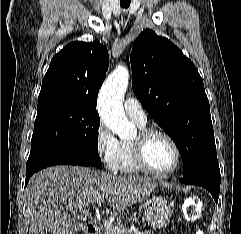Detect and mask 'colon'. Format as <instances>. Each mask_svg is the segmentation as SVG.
I'll list each match as a JSON object with an SVG mask.
<instances>
[{
	"label": "colon",
	"mask_w": 241,
	"mask_h": 234,
	"mask_svg": "<svg viewBox=\"0 0 241 234\" xmlns=\"http://www.w3.org/2000/svg\"><path fill=\"white\" fill-rule=\"evenodd\" d=\"M185 218L190 222H195L200 218L201 205L198 197L189 198L183 206Z\"/></svg>",
	"instance_id": "5ec220e1"
}]
</instances>
